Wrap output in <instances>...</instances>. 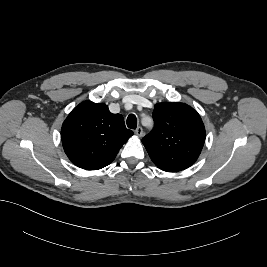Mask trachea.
<instances>
[{"mask_svg":"<svg viewBox=\"0 0 267 267\" xmlns=\"http://www.w3.org/2000/svg\"><path fill=\"white\" fill-rule=\"evenodd\" d=\"M127 126L128 128L130 129H136L137 127V118L134 114H130L128 117H127Z\"/></svg>","mask_w":267,"mask_h":267,"instance_id":"3493384b","label":"trachea"}]
</instances>
